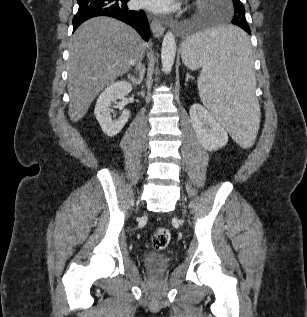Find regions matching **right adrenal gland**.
Masks as SVG:
<instances>
[{
	"mask_svg": "<svg viewBox=\"0 0 307 317\" xmlns=\"http://www.w3.org/2000/svg\"><path fill=\"white\" fill-rule=\"evenodd\" d=\"M139 68V76L136 77L135 75H132L131 73L128 74V79L133 83V84H140L143 81L144 77V67L139 63L138 64Z\"/></svg>",
	"mask_w": 307,
	"mask_h": 317,
	"instance_id": "obj_1",
	"label": "right adrenal gland"
}]
</instances>
